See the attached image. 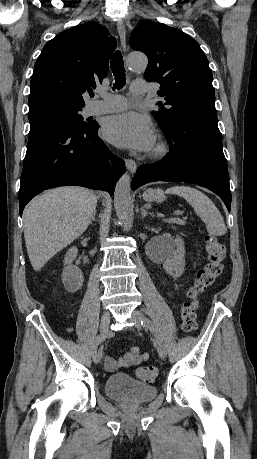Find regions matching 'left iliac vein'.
I'll return each mask as SVG.
<instances>
[{"label": "left iliac vein", "mask_w": 257, "mask_h": 459, "mask_svg": "<svg viewBox=\"0 0 257 459\" xmlns=\"http://www.w3.org/2000/svg\"><path fill=\"white\" fill-rule=\"evenodd\" d=\"M146 320L144 314L139 310H134L132 313L131 321L134 322L137 329H141V321ZM157 351L161 359H165L167 356V351L164 344L161 341L157 342Z\"/></svg>", "instance_id": "4c4485c4"}]
</instances>
